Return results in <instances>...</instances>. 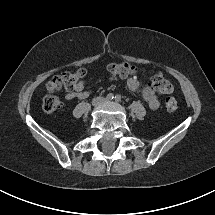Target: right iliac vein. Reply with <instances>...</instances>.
I'll list each match as a JSON object with an SVG mask.
<instances>
[{
    "instance_id": "1",
    "label": "right iliac vein",
    "mask_w": 215,
    "mask_h": 215,
    "mask_svg": "<svg viewBox=\"0 0 215 215\" xmlns=\"http://www.w3.org/2000/svg\"><path fill=\"white\" fill-rule=\"evenodd\" d=\"M100 104V101L99 100H95L94 101V105H99Z\"/></svg>"
}]
</instances>
